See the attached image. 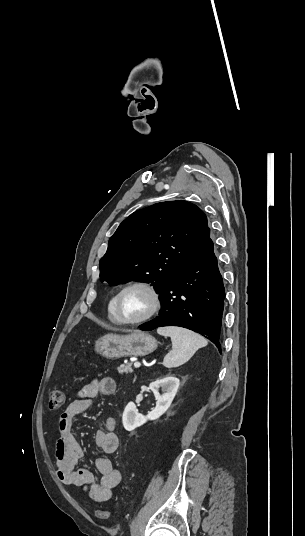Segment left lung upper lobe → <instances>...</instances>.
Here are the masks:
<instances>
[{"label":"left lung upper lobe","instance_id":"1","mask_svg":"<svg viewBox=\"0 0 305 536\" xmlns=\"http://www.w3.org/2000/svg\"><path fill=\"white\" fill-rule=\"evenodd\" d=\"M207 217L187 201L157 203L126 218L99 262L111 285L151 282L160 292L210 240Z\"/></svg>","mask_w":305,"mask_h":536}]
</instances>
